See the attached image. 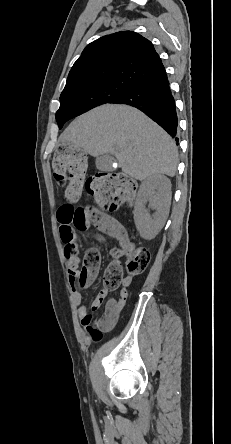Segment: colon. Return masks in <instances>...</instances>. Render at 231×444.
<instances>
[{"label": "colon", "mask_w": 231, "mask_h": 444, "mask_svg": "<svg viewBox=\"0 0 231 444\" xmlns=\"http://www.w3.org/2000/svg\"><path fill=\"white\" fill-rule=\"evenodd\" d=\"M54 178L61 186H65V196L70 201L79 198L82 188L92 194L99 207L104 211H114L122 204L133 200L136 193V182L121 173L97 174L85 180L86 157L84 153L70 145H60L52 159ZM94 209L76 208L69 204L64 211L62 221L75 230L85 231L93 227L101 216ZM67 260L74 256L72 250L66 252ZM114 260L104 273V286L113 291L120 287L124 271L131 276L143 273L149 265L151 254L143 247L124 246L113 252ZM100 253L95 248L86 251L83 266L78 274V287L85 288L96 275L100 264Z\"/></svg>", "instance_id": "5ec220e1"}]
</instances>
